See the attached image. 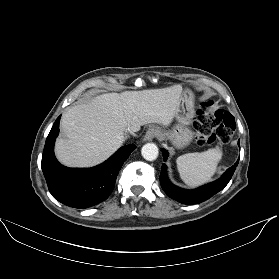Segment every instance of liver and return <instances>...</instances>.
Here are the masks:
<instances>
[{
  "label": "liver",
  "mask_w": 279,
  "mask_h": 279,
  "mask_svg": "<svg viewBox=\"0 0 279 279\" xmlns=\"http://www.w3.org/2000/svg\"><path fill=\"white\" fill-rule=\"evenodd\" d=\"M182 86L103 93L70 108L61 119L66 138L55 144L57 159L68 167H92L105 161L124 141L128 128L169 126L180 106Z\"/></svg>",
  "instance_id": "6515ba94"
}]
</instances>
